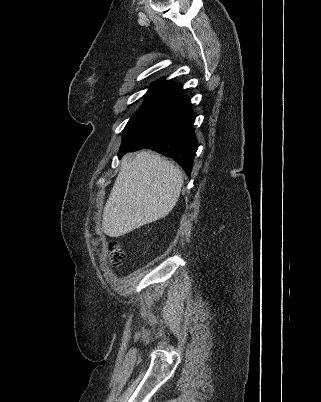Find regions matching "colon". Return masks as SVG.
<instances>
[{"mask_svg":"<svg viewBox=\"0 0 321 402\" xmlns=\"http://www.w3.org/2000/svg\"><path fill=\"white\" fill-rule=\"evenodd\" d=\"M109 250L111 263L115 267H120L125 259L124 252L119 248L116 241H110Z\"/></svg>","mask_w":321,"mask_h":402,"instance_id":"colon-1","label":"colon"}]
</instances>
